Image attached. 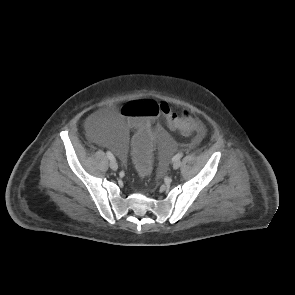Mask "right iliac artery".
I'll use <instances>...</instances> for the list:
<instances>
[{
  "label": "right iliac artery",
  "mask_w": 295,
  "mask_h": 295,
  "mask_svg": "<svg viewBox=\"0 0 295 295\" xmlns=\"http://www.w3.org/2000/svg\"><path fill=\"white\" fill-rule=\"evenodd\" d=\"M107 157L110 159V160H115V157L114 155L110 152V151H107Z\"/></svg>",
  "instance_id": "1"
}]
</instances>
